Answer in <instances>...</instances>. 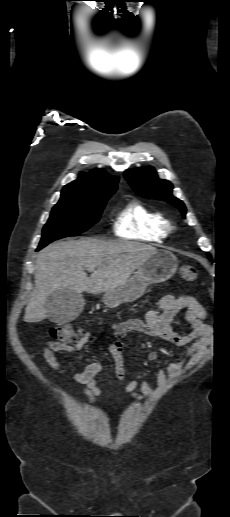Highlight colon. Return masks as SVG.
Wrapping results in <instances>:
<instances>
[{
	"mask_svg": "<svg viewBox=\"0 0 230 517\" xmlns=\"http://www.w3.org/2000/svg\"><path fill=\"white\" fill-rule=\"evenodd\" d=\"M179 276L186 282H194L198 278L196 269L190 265H182L179 269ZM49 335L65 344H71L78 340L80 332L67 324L53 326L49 329Z\"/></svg>",
	"mask_w": 230,
	"mask_h": 517,
	"instance_id": "1",
	"label": "colon"
}]
</instances>
